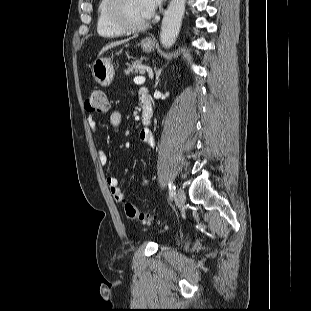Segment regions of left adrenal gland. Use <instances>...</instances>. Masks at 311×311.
Returning a JSON list of instances; mask_svg holds the SVG:
<instances>
[{
    "label": "left adrenal gland",
    "mask_w": 311,
    "mask_h": 311,
    "mask_svg": "<svg viewBox=\"0 0 311 311\" xmlns=\"http://www.w3.org/2000/svg\"><path fill=\"white\" fill-rule=\"evenodd\" d=\"M154 71H155V74H156V81H155L154 88H156L157 85H158V83H159V81H160L159 77H160V75H161L162 68H161V69H157V68L155 67V68H154Z\"/></svg>",
    "instance_id": "left-adrenal-gland-1"
}]
</instances>
